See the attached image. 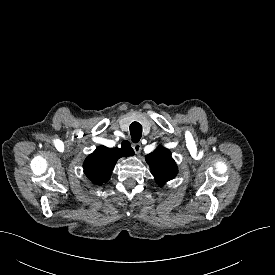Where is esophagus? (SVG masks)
Wrapping results in <instances>:
<instances>
[{
	"label": "esophagus",
	"mask_w": 275,
	"mask_h": 275,
	"mask_svg": "<svg viewBox=\"0 0 275 275\" xmlns=\"http://www.w3.org/2000/svg\"><path fill=\"white\" fill-rule=\"evenodd\" d=\"M132 148H133V150L135 151V153H139L140 152V150H141V144L140 143H134L133 145H132Z\"/></svg>",
	"instance_id": "1"
}]
</instances>
